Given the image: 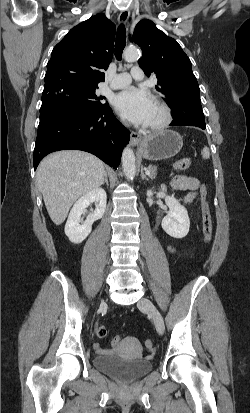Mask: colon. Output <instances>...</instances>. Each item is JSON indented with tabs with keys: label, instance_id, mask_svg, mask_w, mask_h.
<instances>
[{
	"label": "colon",
	"instance_id": "1",
	"mask_svg": "<svg viewBox=\"0 0 250 413\" xmlns=\"http://www.w3.org/2000/svg\"><path fill=\"white\" fill-rule=\"evenodd\" d=\"M192 163L191 158L186 157L183 159H180L176 162H174L173 167L176 170H186L190 167ZM201 210H202V230H203V236H204V241L206 243H209L212 239V220H211V215H210V210H209V205L207 202V191L204 185L201 186ZM108 334V329L101 325L97 328V335L101 338L107 336ZM121 335L120 334H115L114 337H112V342H111V348L112 349H117L118 345L121 340ZM145 348L148 352H152L154 349L153 342L151 340H147L145 342Z\"/></svg>",
	"mask_w": 250,
	"mask_h": 413
}]
</instances>
